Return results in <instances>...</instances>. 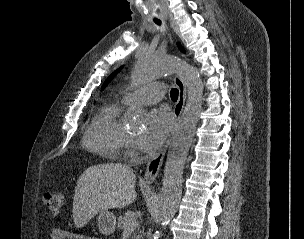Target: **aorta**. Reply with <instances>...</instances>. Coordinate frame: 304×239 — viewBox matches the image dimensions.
<instances>
[{
    "label": "aorta",
    "instance_id": "762f6f07",
    "mask_svg": "<svg viewBox=\"0 0 304 239\" xmlns=\"http://www.w3.org/2000/svg\"><path fill=\"white\" fill-rule=\"evenodd\" d=\"M173 73L182 77L188 98L172 135L165 163L158 205L159 224L163 229L173 218L181 198L184 164L202 108L203 83L195 67L169 55L140 58L132 76V85L138 86ZM136 117L142 119V115L136 114ZM157 235L160 237L162 231H157Z\"/></svg>",
    "mask_w": 304,
    "mask_h": 239
}]
</instances>
